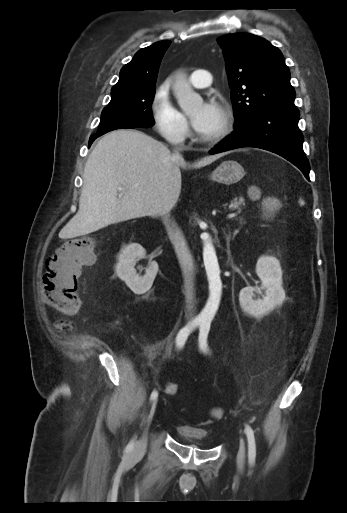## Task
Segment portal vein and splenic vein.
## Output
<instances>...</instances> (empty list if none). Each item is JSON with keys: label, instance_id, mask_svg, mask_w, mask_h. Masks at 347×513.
I'll use <instances>...</instances> for the list:
<instances>
[{"label": "portal vein and splenic vein", "instance_id": "portal-vein-and-splenic-vein-1", "mask_svg": "<svg viewBox=\"0 0 347 513\" xmlns=\"http://www.w3.org/2000/svg\"><path fill=\"white\" fill-rule=\"evenodd\" d=\"M117 189H118V191H120V192H122V191L124 190V188H122V187H118ZM230 217H231V216H230V215H228V218H230ZM229 238H231V236H229Z\"/></svg>", "mask_w": 347, "mask_h": 513}]
</instances>
